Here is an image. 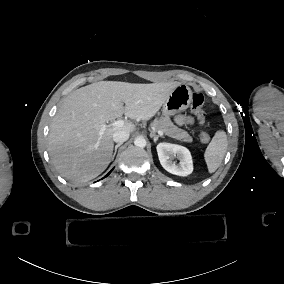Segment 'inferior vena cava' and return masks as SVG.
<instances>
[{
    "mask_svg": "<svg viewBox=\"0 0 284 284\" xmlns=\"http://www.w3.org/2000/svg\"><path fill=\"white\" fill-rule=\"evenodd\" d=\"M129 139V132L127 131H116L113 134V140L117 143H123Z\"/></svg>",
    "mask_w": 284,
    "mask_h": 284,
    "instance_id": "602c4592",
    "label": "inferior vena cava"
}]
</instances>
